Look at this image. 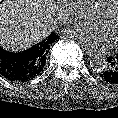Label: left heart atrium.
Listing matches in <instances>:
<instances>
[{"mask_svg": "<svg viewBox=\"0 0 118 118\" xmlns=\"http://www.w3.org/2000/svg\"><path fill=\"white\" fill-rule=\"evenodd\" d=\"M66 37L83 48L105 50L112 45L108 33L102 26L79 23L65 31Z\"/></svg>", "mask_w": 118, "mask_h": 118, "instance_id": "left-heart-atrium-1", "label": "left heart atrium"}]
</instances>
